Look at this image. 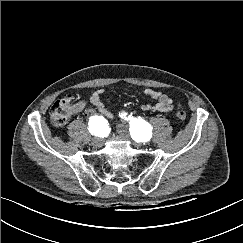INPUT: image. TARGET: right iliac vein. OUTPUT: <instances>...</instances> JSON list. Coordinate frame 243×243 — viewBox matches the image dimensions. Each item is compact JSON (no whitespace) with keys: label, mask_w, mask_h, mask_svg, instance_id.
<instances>
[{"label":"right iliac vein","mask_w":243,"mask_h":243,"mask_svg":"<svg viewBox=\"0 0 243 243\" xmlns=\"http://www.w3.org/2000/svg\"><path fill=\"white\" fill-rule=\"evenodd\" d=\"M92 144L96 147H99L101 145V139L99 137H94L92 139Z\"/></svg>","instance_id":"right-iliac-vein-1"}]
</instances>
